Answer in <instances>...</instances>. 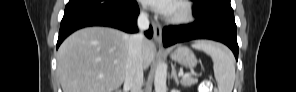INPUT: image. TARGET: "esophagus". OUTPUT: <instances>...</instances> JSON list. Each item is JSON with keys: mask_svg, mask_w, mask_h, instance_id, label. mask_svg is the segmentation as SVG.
<instances>
[{"mask_svg": "<svg viewBox=\"0 0 296 92\" xmlns=\"http://www.w3.org/2000/svg\"><path fill=\"white\" fill-rule=\"evenodd\" d=\"M154 39L157 43L161 44L162 42V26L159 23L152 22Z\"/></svg>", "mask_w": 296, "mask_h": 92, "instance_id": "esophagus-1", "label": "esophagus"}]
</instances>
